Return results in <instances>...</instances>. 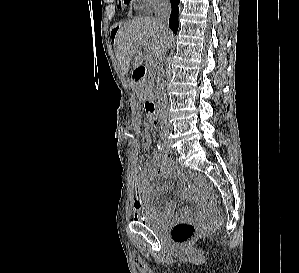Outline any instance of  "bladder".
I'll list each match as a JSON object with an SVG mask.
<instances>
[{"instance_id":"31cf9c89","label":"bladder","mask_w":299,"mask_h":273,"mask_svg":"<svg viewBox=\"0 0 299 273\" xmlns=\"http://www.w3.org/2000/svg\"><path fill=\"white\" fill-rule=\"evenodd\" d=\"M145 227L156 233H163L165 231L167 220L154 216L148 211L141 213L138 219Z\"/></svg>"}]
</instances>
